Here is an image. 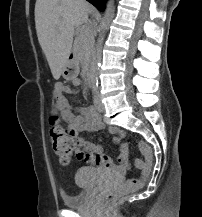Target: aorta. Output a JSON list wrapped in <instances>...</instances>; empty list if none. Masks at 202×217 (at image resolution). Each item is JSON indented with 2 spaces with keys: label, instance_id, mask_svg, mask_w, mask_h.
<instances>
[{
  "label": "aorta",
  "instance_id": "762f6f07",
  "mask_svg": "<svg viewBox=\"0 0 202 217\" xmlns=\"http://www.w3.org/2000/svg\"><path fill=\"white\" fill-rule=\"evenodd\" d=\"M114 15V3L112 0L108 1L106 3V8L104 11V17H103V23L101 25V32L98 37L95 50L92 55V61H91V68H90V77L94 81L96 80L97 70L101 61V50H102V44L105 37V31L107 28V25L110 23L111 19Z\"/></svg>",
  "mask_w": 202,
  "mask_h": 217
}]
</instances>
